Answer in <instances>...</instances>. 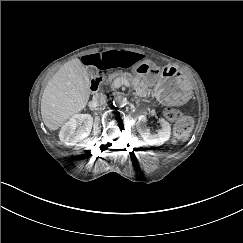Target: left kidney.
<instances>
[{
    "instance_id": "left-kidney-1",
    "label": "left kidney",
    "mask_w": 243,
    "mask_h": 243,
    "mask_svg": "<svg viewBox=\"0 0 243 243\" xmlns=\"http://www.w3.org/2000/svg\"><path fill=\"white\" fill-rule=\"evenodd\" d=\"M147 122L146 116L141 115L138 117L137 122V130L140 136L143 138L146 144L153 146H160L167 140H169L171 135V127L170 124L163 118L159 119V123L161 125V129L158 130L156 134H151L150 129L145 126Z\"/></svg>"
}]
</instances>
